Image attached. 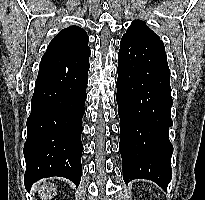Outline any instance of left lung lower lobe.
<instances>
[{"label":"left lung lower lobe","mask_w":205,"mask_h":200,"mask_svg":"<svg viewBox=\"0 0 205 200\" xmlns=\"http://www.w3.org/2000/svg\"><path fill=\"white\" fill-rule=\"evenodd\" d=\"M117 94L123 179H148L167 190L172 178L170 70L160 40H121Z\"/></svg>","instance_id":"obj_1"}]
</instances>
